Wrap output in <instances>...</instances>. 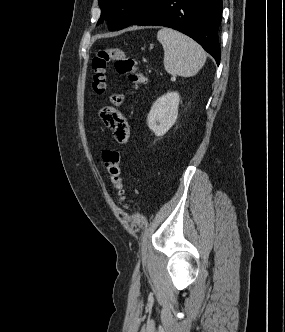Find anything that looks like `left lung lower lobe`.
Listing matches in <instances>:
<instances>
[{"label":"left lung lower lobe","mask_w":285,"mask_h":332,"mask_svg":"<svg viewBox=\"0 0 285 332\" xmlns=\"http://www.w3.org/2000/svg\"><path fill=\"white\" fill-rule=\"evenodd\" d=\"M221 14L222 0H155L132 24L176 29L197 41L219 65Z\"/></svg>","instance_id":"0a47b994"}]
</instances>
